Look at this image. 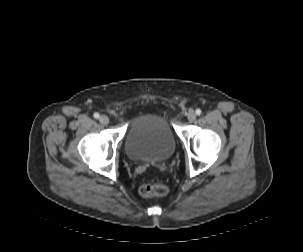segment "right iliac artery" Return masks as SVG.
Returning a JSON list of instances; mask_svg holds the SVG:
<instances>
[{
    "mask_svg": "<svg viewBox=\"0 0 303 252\" xmlns=\"http://www.w3.org/2000/svg\"><path fill=\"white\" fill-rule=\"evenodd\" d=\"M100 115L98 113H94V118L98 119Z\"/></svg>",
    "mask_w": 303,
    "mask_h": 252,
    "instance_id": "obj_1",
    "label": "right iliac artery"
}]
</instances>
